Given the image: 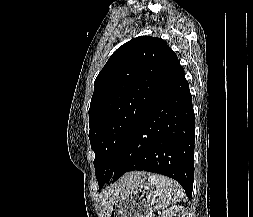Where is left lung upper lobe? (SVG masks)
Here are the masks:
<instances>
[{
  "mask_svg": "<svg viewBox=\"0 0 253 217\" xmlns=\"http://www.w3.org/2000/svg\"><path fill=\"white\" fill-rule=\"evenodd\" d=\"M182 71L176 54L161 38L139 36L111 55L95 80L89 109L99 188L111 180L134 121Z\"/></svg>",
  "mask_w": 253,
  "mask_h": 217,
  "instance_id": "5c2ea615",
  "label": "left lung upper lobe"
}]
</instances>
